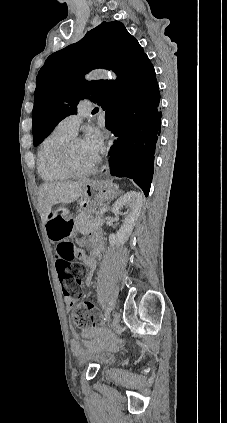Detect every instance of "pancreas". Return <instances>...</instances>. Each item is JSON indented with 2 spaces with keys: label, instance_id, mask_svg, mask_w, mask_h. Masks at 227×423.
Listing matches in <instances>:
<instances>
[{
  "label": "pancreas",
  "instance_id": "1",
  "mask_svg": "<svg viewBox=\"0 0 227 423\" xmlns=\"http://www.w3.org/2000/svg\"><path fill=\"white\" fill-rule=\"evenodd\" d=\"M102 208H99L98 211H94L96 213L95 217L92 215V213H78L74 219V229H78V231H81V233H89V231H92V229H98V227H101L103 223V219H99V211H101Z\"/></svg>",
  "mask_w": 227,
  "mask_h": 423
}]
</instances>
